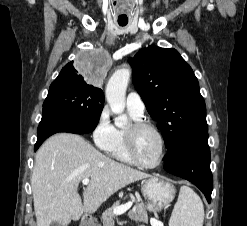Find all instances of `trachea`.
Here are the masks:
<instances>
[{"instance_id": "3493384b", "label": "trachea", "mask_w": 247, "mask_h": 226, "mask_svg": "<svg viewBox=\"0 0 247 226\" xmlns=\"http://www.w3.org/2000/svg\"><path fill=\"white\" fill-rule=\"evenodd\" d=\"M121 26H125L126 24H120Z\"/></svg>"}]
</instances>
